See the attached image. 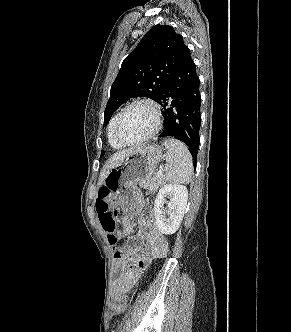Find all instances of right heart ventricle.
I'll return each mask as SVG.
<instances>
[{
	"instance_id": "e07e8e85",
	"label": "right heart ventricle",
	"mask_w": 291,
	"mask_h": 332,
	"mask_svg": "<svg viewBox=\"0 0 291 332\" xmlns=\"http://www.w3.org/2000/svg\"><path fill=\"white\" fill-rule=\"evenodd\" d=\"M117 114L111 119L110 123H109V127H108V142L109 144L115 148V149H122L125 147L124 144H122L121 142H119L114 134V124H115V120H116Z\"/></svg>"
}]
</instances>
